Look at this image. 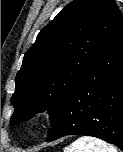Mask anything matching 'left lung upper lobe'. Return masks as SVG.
I'll return each mask as SVG.
<instances>
[{
	"label": "left lung upper lobe",
	"instance_id": "5c2ea615",
	"mask_svg": "<svg viewBox=\"0 0 123 152\" xmlns=\"http://www.w3.org/2000/svg\"><path fill=\"white\" fill-rule=\"evenodd\" d=\"M113 0H74L38 34L25 53L11 98L10 124L47 111L55 124L60 106L115 27Z\"/></svg>",
	"mask_w": 123,
	"mask_h": 152
}]
</instances>
